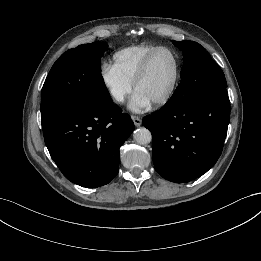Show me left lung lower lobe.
<instances>
[{
    "label": "left lung lower lobe",
    "instance_id": "obj_1",
    "mask_svg": "<svg viewBox=\"0 0 261 261\" xmlns=\"http://www.w3.org/2000/svg\"><path fill=\"white\" fill-rule=\"evenodd\" d=\"M226 88L203 93L184 105L167 102L143 118L152 133L155 170L171 182H189L217 162L227 135Z\"/></svg>",
    "mask_w": 261,
    "mask_h": 261
}]
</instances>
